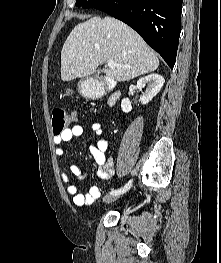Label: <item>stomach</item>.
Returning <instances> with one entry per match:
<instances>
[{
	"mask_svg": "<svg viewBox=\"0 0 221 263\" xmlns=\"http://www.w3.org/2000/svg\"><path fill=\"white\" fill-rule=\"evenodd\" d=\"M80 90L83 92L84 91V83H81V85L79 86Z\"/></svg>",
	"mask_w": 221,
	"mask_h": 263,
	"instance_id": "stomach-1",
	"label": "stomach"
}]
</instances>
